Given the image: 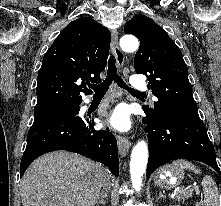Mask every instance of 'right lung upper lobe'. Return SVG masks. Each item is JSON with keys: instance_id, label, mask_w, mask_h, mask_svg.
<instances>
[{"instance_id": "obj_1", "label": "right lung upper lobe", "mask_w": 221, "mask_h": 206, "mask_svg": "<svg viewBox=\"0 0 221 206\" xmlns=\"http://www.w3.org/2000/svg\"><path fill=\"white\" fill-rule=\"evenodd\" d=\"M110 40L109 30L92 18L69 23L44 55L35 107L80 104L86 84L101 81Z\"/></svg>"}]
</instances>
